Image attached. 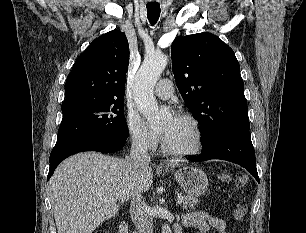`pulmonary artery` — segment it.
I'll use <instances>...</instances> for the list:
<instances>
[{
  "mask_svg": "<svg viewBox=\"0 0 306 233\" xmlns=\"http://www.w3.org/2000/svg\"><path fill=\"white\" fill-rule=\"evenodd\" d=\"M155 94L161 99H169L173 95V83L170 79H162L155 88Z\"/></svg>",
  "mask_w": 306,
  "mask_h": 233,
  "instance_id": "1",
  "label": "pulmonary artery"
}]
</instances>
